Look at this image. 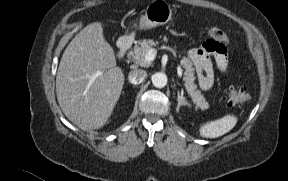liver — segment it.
I'll return each mask as SVG.
<instances>
[{
	"label": "liver",
	"mask_w": 288,
	"mask_h": 181,
	"mask_svg": "<svg viewBox=\"0 0 288 181\" xmlns=\"http://www.w3.org/2000/svg\"><path fill=\"white\" fill-rule=\"evenodd\" d=\"M124 74L100 22L87 25L69 43L56 76L58 103L83 131L103 127L120 97Z\"/></svg>",
	"instance_id": "obj_1"
}]
</instances>
